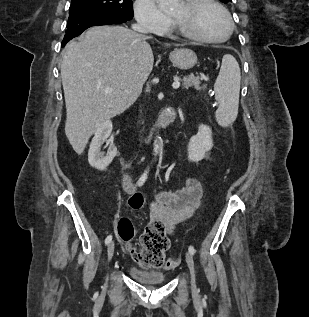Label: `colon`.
Instances as JSON below:
<instances>
[{
	"label": "colon",
	"mask_w": 309,
	"mask_h": 317,
	"mask_svg": "<svg viewBox=\"0 0 309 317\" xmlns=\"http://www.w3.org/2000/svg\"><path fill=\"white\" fill-rule=\"evenodd\" d=\"M129 207L139 210L143 207L144 198L141 193H134L128 199ZM116 234L130 251L133 259L145 268L173 267L175 259H166L165 252L170 242L166 235L165 226L153 220L149 222L139 239V247H132L131 243L135 236L132 222L127 218H121L116 225Z\"/></svg>",
	"instance_id": "obj_1"
}]
</instances>
